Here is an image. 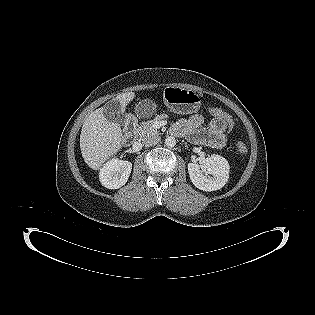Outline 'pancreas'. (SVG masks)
Returning a JSON list of instances; mask_svg holds the SVG:
<instances>
[{
	"label": "pancreas",
	"instance_id": "cf45deb5",
	"mask_svg": "<svg viewBox=\"0 0 315 315\" xmlns=\"http://www.w3.org/2000/svg\"><path fill=\"white\" fill-rule=\"evenodd\" d=\"M163 117L160 116L154 120H149L146 122H142L135 130L134 133L135 135L140 138L143 139L146 136L150 135V134H158L157 130L154 128V122L155 121H159L161 120Z\"/></svg>",
	"mask_w": 315,
	"mask_h": 315
}]
</instances>
